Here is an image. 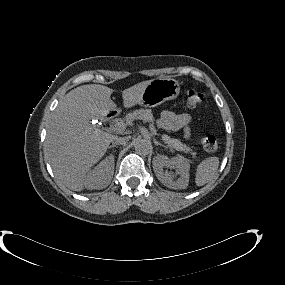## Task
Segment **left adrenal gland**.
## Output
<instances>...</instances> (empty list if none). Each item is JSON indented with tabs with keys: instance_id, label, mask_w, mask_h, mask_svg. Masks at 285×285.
<instances>
[{
	"instance_id": "left-adrenal-gland-1",
	"label": "left adrenal gland",
	"mask_w": 285,
	"mask_h": 285,
	"mask_svg": "<svg viewBox=\"0 0 285 285\" xmlns=\"http://www.w3.org/2000/svg\"><path fill=\"white\" fill-rule=\"evenodd\" d=\"M154 143H155V145H156V146H158V145H159V146L165 147L163 144L159 143V142H158V141H156V140H154Z\"/></svg>"
}]
</instances>
